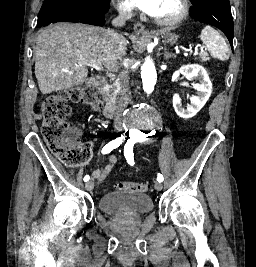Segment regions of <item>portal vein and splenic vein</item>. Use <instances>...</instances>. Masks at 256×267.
Returning a JSON list of instances; mask_svg holds the SVG:
<instances>
[{"label":"portal vein and splenic vein","instance_id":"1","mask_svg":"<svg viewBox=\"0 0 256 267\" xmlns=\"http://www.w3.org/2000/svg\"><path fill=\"white\" fill-rule=\"evenodd\" d=\"M192 56H198L202 55V52H198L197 49H194V51L191 52ZM192 56H189V59H192ZM79 66H82V64H79ZM86 66H91V68H95V70H99L101 72L102 66L101 64H96V62H92V64H86Z\"/></svg>","mask_w":256,"mask_h":267}]
</instances>
